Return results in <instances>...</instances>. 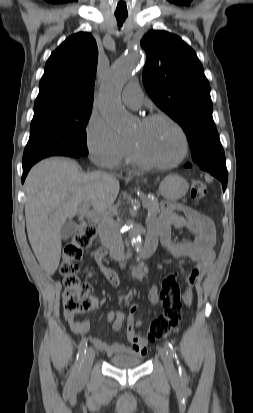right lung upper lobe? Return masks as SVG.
I'll return each mask as SVG.
<instances>
[{"instance_id":"obj_1","label":"right lung upper lobe","mask_w":253,"mask_h":413,"mask_svg":"<svg viewBox=\"0 0 253 413\" xmlns=\"http://www.w3.org/2000/svg\"><path fill=\"white\" fill-rule=\"evenodd\" d=\"M98 49L90 33L68 37L49 57L34 113L93 106Z\"/></svg>"}]
</instances>
